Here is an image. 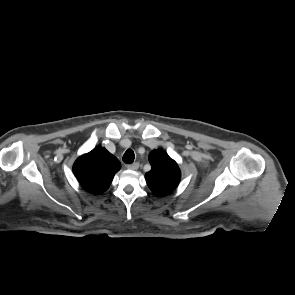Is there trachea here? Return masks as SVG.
Listing matches in <instances>:
<instances>
[{
    "mask_svg": "<svg viewBox=\"0 0 295 295\" xmlns=\"http://www.w3.org/2000/svg\"><path fill=\"white\" fill-rule=\"evenodd\" d=\"M134 159H135V154L133 150L131 149H128L123 155V162L126 164L133 163Z\"/></svg>",
    "mask_w": 295,
    "mask_h": 295,
    "instance_id": "1",
    "label": "trachea"
}]
</instances>
